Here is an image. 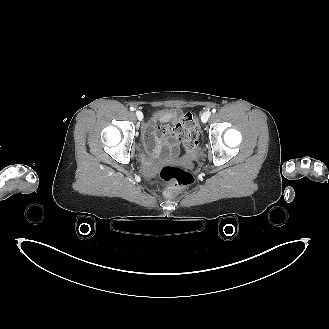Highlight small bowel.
Returning <instances> with one entry per match:
<instances>
[{
	"label": "small bowel",
	"instance_id": "1",
	"mask_svg": "<svg viewBox=\"0 0 329 329\" xmlns=\"http://www.w3.org/2000/svg\"><path fill=\"white\" fill-rule=\"evenodd\" d=\"M183 112L180 109L159 110L143 126V141L151 155L174 160L184 142ZM162 124V125H159Z\"/></svg>",
	"mask_w": 329,
	"mask_h": 329
}]
</instances>
